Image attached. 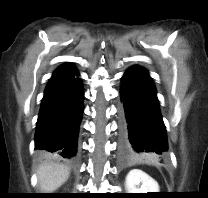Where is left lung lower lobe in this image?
<instances>
[{
    "label": "left lung lower lobe",
    "instance_id": "1",
    "mask_svg": "<svg viewBox=\"0 0 208 198\" xmlns=\"http://www.w3.org/2000/svg\"><path fill=\"white\" fill-rule=\"evenodd\" d=\"M119 151L123 158L165 156L166 129L156 88L146 69L132 66L122 77Z\"/></svg>",
    "mask_w": 208,
    "mask_h": 198
}]
</instances>
